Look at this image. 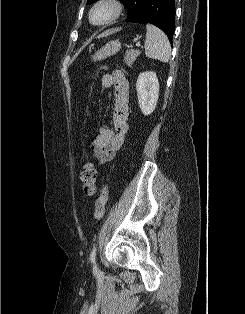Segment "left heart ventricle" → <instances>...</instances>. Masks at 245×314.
Here are the masks:
<instances>
[{
	"instance_id": "1",
	"label": "left heart ventricle",
	"mask_w": 245,
	"mask_h": 314,
	"mask_svg": "<svg viewBox=\"0 0 245 314\" xmlns=\"http://www.w3.org/2000/svg\"><path fill=\"white\" fill-rule=\"evenodd\" d=\"M111 15V9L108 6H99L93 13V21L101 23L106 21Z\"/></svg>"
}]
</instances>
